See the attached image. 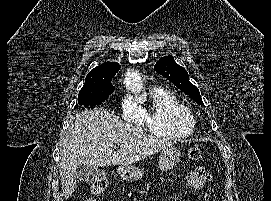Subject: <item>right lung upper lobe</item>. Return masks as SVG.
<instances>
[{"label":"right lung upper lobe","instance_id":"obj_1","mask_svg":"<svg viewBox=\"0 0 271 201\" xmlns=\"http://www.w3.org/2000/svg\"><path fill=\"white\" fill-rule=\"evenodd\" d=\"M119 64L117 62H105L102 65L92 69L86 78H93L106 75H115L119 70Z\"/></svg>","mask_w":271,"mask_h":201}]
</instances>
